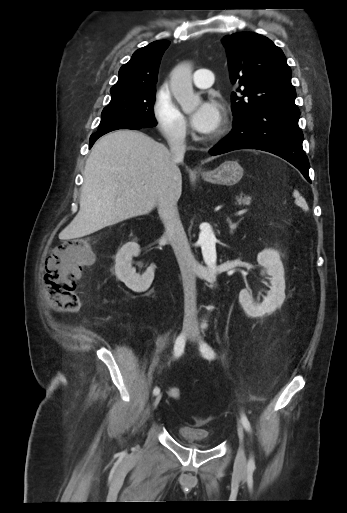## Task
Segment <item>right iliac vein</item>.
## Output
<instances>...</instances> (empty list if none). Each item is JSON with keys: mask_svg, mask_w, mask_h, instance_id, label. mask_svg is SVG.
I'll use <instances>...</instances> for the list:
<instances>
[{"mask_svg": "<svg viewBox=\"0 0 347 513\" xmlns=\"http://www.w3.org/2000/svg\"><path fill=\"white\" fill-rule=\"evenodd\" d=\"M191 329H192V324L190 322H188V321L185 322L183 324V335L186 336V337H189ZM161 398H162V394H158L156 396V398L154 399V401H153V408L154 409L158 406L159 402L161 401Z\"/></svg>", "mask_w": 347, "mask_h": 513, "instance_id": "1", "label": "right iliac vein"}]
</instances>
